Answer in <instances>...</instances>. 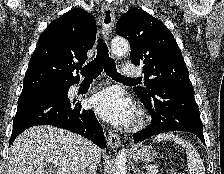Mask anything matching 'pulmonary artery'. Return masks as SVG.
<instances>
[{
    "instance_id": "1",
    "label": "pulmonary artery",
    "mask_w": 224,
    "mask_h": 174,
    "mask_svg": "<svg viewBox=\"0 0 224 174\" xmlns=\"http://www.w3.org/2000/svg\"><path fill=\"white\" fill-rule=\"evenodd\" d=\"M141 69L133 64H126L123 68V75L127 77L140 76Z\"/></svg>"
}]
</instances>
